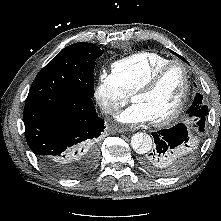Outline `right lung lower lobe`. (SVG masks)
<instances>
[{"label":"right lung lower lobe","mask_w":221,"mask_h":221,"mask_svg":"<svg viewBox=\"0 0 221 221\" xmlns=\"http://www.w3.org/2000/svg\"><path fill=\"white\" fill-rule=\"evenodd\" d=\"M26 141L52 174L75 178L96 161V139L104 132L92 98L72 97L26 103Z\"/></svg>","instance_id":"obj_1"}]
</instances>
